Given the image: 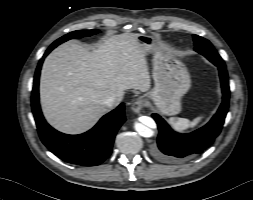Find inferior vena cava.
I'll return each mask as SVG.
<instances>
[{"label": "inferior vena cava", "instance_id": "602c4592", "mask_svg": "<svg viewBox=\"0 0 253 200\" xmlns=\"http://www.w3.org/2000/svg\"><path fill=\"white\" fill-rule=\"evenodd\" d=\"M117 102H118V98H117L115 95H109V96H107V97L104 99V102H103V103H104L107 107L111 108V107L115 106V105L117 104Z\"/></svg>", "mask_w": 253, "mask_h": 200}]
</instances>
